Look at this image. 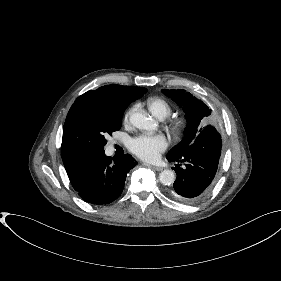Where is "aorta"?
Masks as SVG:
<instances>
[{"instance_id":"1","label":"aorta","mask_w":281,"mask_h":281,"mask_svg":"<svg viewBox=\"0 0 281 281\" xmlns=\"http://www.w3.org/2000/svg\"><path fill=\"white\" fill-rule=\"evenodd\" d=\"M131 124L138 128L148 130L153 126V120L144 112H135L130 116ZM176 179L172 170H164L159 174V180L163 185H171Z\"/></svg>"}]
</instances>
